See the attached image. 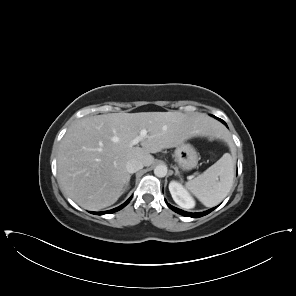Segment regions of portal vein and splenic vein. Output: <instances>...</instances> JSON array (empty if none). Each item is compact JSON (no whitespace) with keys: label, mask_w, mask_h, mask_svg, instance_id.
<instances>
[{"label":"portal vein and splenic vein","mask_w":296,"mask_h":296,"mask_svg":"<svg viewBox=\"0 0 296 296\" xmlns=\"http://www.w3.org/2000/svg\"><path fill=\"white\" fill-rule=\"evenodd\" d=\"M147 138V130L142 129L138 136H136L129 144L130 146L137 145L140 141Z\"/></svg>","instance_id":"18ae733b"}]
</instances>
